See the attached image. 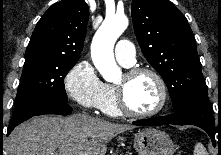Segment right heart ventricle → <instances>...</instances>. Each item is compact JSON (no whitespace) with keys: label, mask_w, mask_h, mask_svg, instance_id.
Here are the masks:
<instances>
[{"label":"right heart ventricle","mask_w":221,"mask_h":155,"mask_svg":"<svg viewBox=\"0 0 221 155\" xmlns=\"http://www.w3.org/2000/svg\"><path fill=\"white\" fill-rule=\"evenodd\" d=\"M106 87V95L105 99L100 107L101 111L108 116L118 117L121 116L122 113L118 108L114 87L109 84H105Z\"/></svg>","instance_id":"e07e8e85"}]
</instances>
